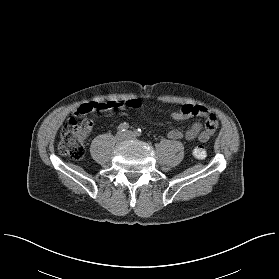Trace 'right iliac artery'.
Listing matches in <instances>:
<instances>
[{
	"mask_svg": "<svg viewBox=\"0 0 279 279\" xmlns=\"http://www.w3.org/2000/svg\"><path fill=\"white\" fill-rule=\"evenodd\" d=\"M129 128V124L124 122V123H121L119 126H118V132H124V131H127Z\"/></svg>",
	"mask_w": 279,
	"mask_h": 279,
	"instance_id": "1",
	"label": "right iliac artery"
}]
</instances>
